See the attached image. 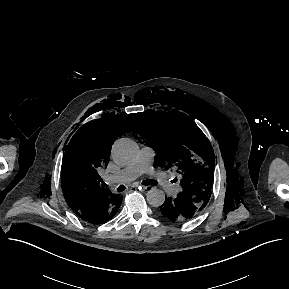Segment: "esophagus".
Instances as JSON below:
<instances>
[{
	"instance_id": "esophagus-1",
	"label": "esophagus",
	"mask_w": 289,
	"mask_h": 289,
	"mask_svg": "<svg viewBox=\"0 0 289 289\" xmlns=\"http://www.w3.org/2000/svg\"><path fill=\"white\" fill-rule=\"evenodd\" d=\"M138 187L142 190H148L150 188V186H143V185H141V186L140 185H133L132 186V188H135V189Z\"/></svg>"
}]
</instances>
